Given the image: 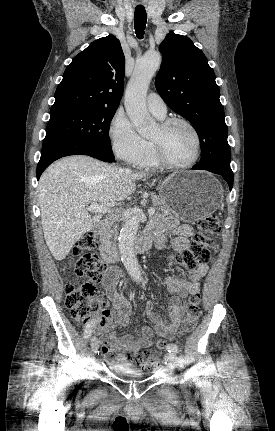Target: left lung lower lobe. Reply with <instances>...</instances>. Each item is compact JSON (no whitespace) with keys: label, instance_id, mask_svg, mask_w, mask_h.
<instances>
[{"label":"left lung lower lobe","instance_id":"obj_1","mask_svg":"<svg viewBox=\"0 0 275 431\" xmlns=\"http://www.w3.org/2000/svg\"><path fill=\"white\" fill-rule=\"evenodd\" d=\"M194 169L196 170H207L210 172H213L215 174H219L221 175L225 181H227L228 185H229V189L231 190L233 187V172L231 170L230 167H218V166H213V167H201V166H193Z\"/></svg>","mask_w":275,"mask_h":431}]
</instances>
